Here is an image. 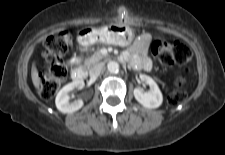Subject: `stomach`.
Returning <instances> with one entry per match:
<instances>
[{
  "mask_svg": "<svg viewBox=\"0 0 225 155\" xmlns=\"http://www.w3.org/2000/svg\"><path fill=\"white\" fill-rule=\"evenodd\" d=\"M81 45L88 46L97 42L128 46L134 39L132 30L121 24H111L100 29H82L78 32Z\"/></svg>",
  "mask_w": 225,
  "mask_h": 155,
  "instance_id": "obj_1",
  "label": "stomach"
}]
</instances>
